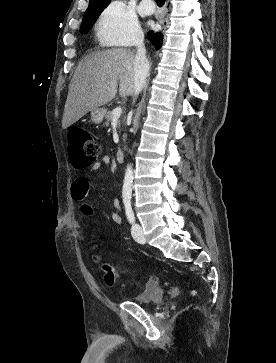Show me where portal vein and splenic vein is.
<instances>
[{
    "label": "portal vein and splenic vein",
    "instance_id": "portal-vein-and-splenic-vein-1",
    "mask_svg": "<svg viewBox=\"0 0 276 363\" xmlns=\"http://www.w3.org/2000/svg\"><path fill=\"white\" fill-rule=\"evenodd\" d=\"M122 114V108L121 107H116L113 111H112V115H113V120H117Z\"/></svg>",
    "mask_w": 276,
    "mask_h": 363
}]
</instances>
